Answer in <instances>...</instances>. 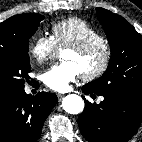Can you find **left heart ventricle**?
I'll use <instances>...</instances> for the list:
<instances>
[{
	"mask_svg": "<svg viewBox=\"0 0 142 142\" xmlns=\"http://www.w3.org/2000/svg\"><path fill=\"white\" fill-rule=\"evenodd\" d=\"M63 59L73 62L78 67L80 73L83 74L95 70L100 65L102 52L98 50L88 55H80L68 49L64 52Z\"/></svg>",
	"mask_w": 142,
	"mask_h": 142,
	"instance_id": "obj_1",
	"label": "left heart ventricle"
}]
</instances>
